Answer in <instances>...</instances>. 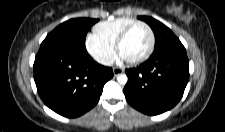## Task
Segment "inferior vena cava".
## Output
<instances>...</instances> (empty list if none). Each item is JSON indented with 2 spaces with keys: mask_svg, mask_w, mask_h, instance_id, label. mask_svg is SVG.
I'll list each match as a JSON object with an SVG mask.
<instances>
[{
  "mask_svg": "<svg viewBox=\"0 0 225 132\" xmlns=\"http://www.w3.org/2000/svg\"><path fill=\"white\" fill-rule=\"evenodd\" d=\"M99 63L106 66H111L114 63V58H102L99 60Z\"/></svg>",
  "mask_w": 225,
  "mask_h": 132,
  "instance_id": "602c4592",
  "label": "inferior vena cava"
}]
</instances>
